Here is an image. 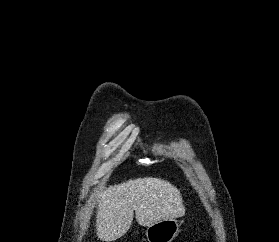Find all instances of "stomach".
<instances>
[{
    "label": "stomach",
    "instance_id": "0dacf381",
    "mask_svg": "<svg viewBox=\"0 0 279 242\" xmlns=\"http://www.w3.org/2000/svg\"><path fill=\"white\" fill-rule=\"evenodd\" d=\"M179 232L180 223L172 218L148 226L145 234L148 242H172Z\"/></svg>",
    "mask_w": 279,
    "mask_h": 242
}]
</instances>
